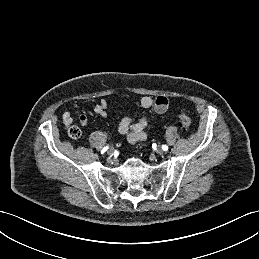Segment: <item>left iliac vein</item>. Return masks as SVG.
I'll return each instance as SVG.
<instances>
[{"instance_id": "obj_1", "label": "left iliac vein", "mask_w": 259, "mask_h": 259, "mask_svg": "<svg viewBox=\"0 0 259 259\" xmlns=\"http://www.w3.org/2000/svg\"><path fill=\"white\" fill-rule=\"evenodd\" d=\"M155 152H156V154L161 155L164 153V150L162 149V147H158Z\"/></svg>"}]
</instances>
